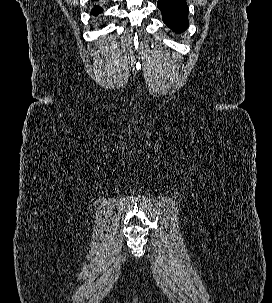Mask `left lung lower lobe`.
I'll return each mask as SVG.
<instances>
[{
	"instance_id": "left-lung-lower-lobe-1",
	"label": "left lung lower lobe",
	"mask_w": 272,
	"mask_h": 303,
	"mask_svg": "<svg viewBox=\"0 0 272 303\" xmlns=\"http://www.w3.org/2000/svg\"><path fill=\"white\" fill-rule=\"evenodd\" d=\"M157 7L163 22L174 32L182 33L188 27V6L186 0H158Z\"/></svg>"
}]
</instances>
